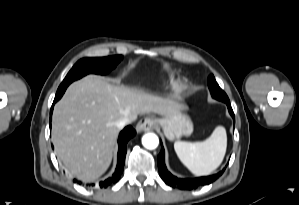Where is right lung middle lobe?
<instances>
[{"label":"right lung middle lobe","mask_w":299,"mask_h":205,"mask_svg":"<svg viewBox=\"0 0 299 205\" xmlns=\"http://www.w3.org/2000/svg\"><path fill=\"white\" fill-rule=\"evenodd\" d=\"M121 55L103 58H83L79 60L69 71L63 82L60 84L55 98L58 100L64 94L66 88L74 80L80 79L89 73L107 74L121 61Z\"/></svg>","instance_id":"1"}]
</instances>
